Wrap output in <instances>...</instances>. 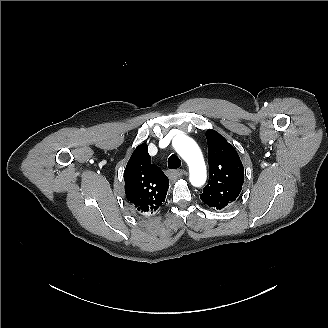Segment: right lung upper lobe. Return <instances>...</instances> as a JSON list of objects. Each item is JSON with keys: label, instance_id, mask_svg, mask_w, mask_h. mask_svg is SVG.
<instances>
[{"label": "right lung upper lobe", "instance_id": "obj_1", "mask_svg": "<svg viewBox=\"0 0 328 328\" xmlns=\"http://www.w3.org/2000/svg\"><path fill=\"white\" fill-rule=\"evenodd\" d=\"M147 148L145 143L137 146L124 171L127 200L141 216L160 209L169 187L167 176L158 166L151 164Z\"/></svg>", "mask_w": 328, "mask_h": 328}]
</instances>
